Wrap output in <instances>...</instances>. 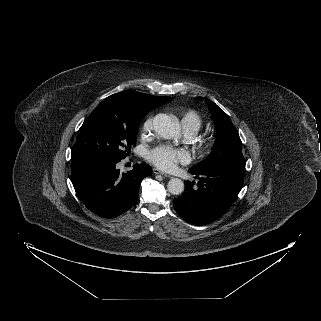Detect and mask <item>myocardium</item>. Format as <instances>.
<instances>
[{
  "mask_svg": "<svg viewBox=\"0 0 321 321\" xmlns=\"http://www.w3.org/2000/svg\"><path fill=\"white\" fill-rule=\"evenodd\" d=\"M213 144V140L207 139L202 142V148L203 149H209Z\"/></svg>",
  "mask_w": 321,
  "mask_h": 321,
  "instance_id": "1",
  "label": "myocardium"
}]
</instances>
